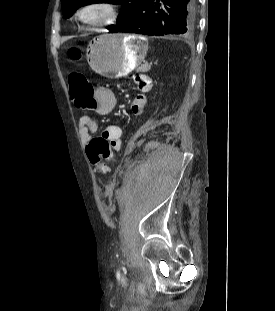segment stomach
<instances>
[{
  "label": "stomach",
  "instance_id": "stomach-1",
  "mask_svg": "<svg viewBox=\"0 0 275 311\" xmlns=\"http://www.w3.org/2000/svg\"><path fill=\"white\" fill-rule=\"evenodd\" d=\"M148 50L147 39L134 34H105L88 45L86 57L97 74L108 78L128 75L144 60Z\"/></svg>",
  "mask_w": 275,
  "mask_h": 311
}]
</instances>
